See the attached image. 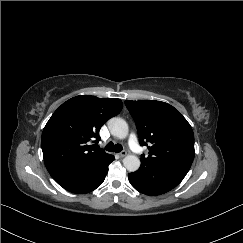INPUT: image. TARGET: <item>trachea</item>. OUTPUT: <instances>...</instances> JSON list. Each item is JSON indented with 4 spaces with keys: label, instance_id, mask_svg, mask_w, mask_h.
<instances>
[{
    "label": "trachea",
    "instance_id": "trachea-1",
    "mask_svg": "<svg viewBox=\"0 0 243 243\" xmlns=\"http://www.w3.org/2000/svg\"><path fill=\"white\" fill-rule=\"evenodd\" d=\"M105 149L107 150V151H110V152H116V153H118V152H120L122 149H123V147H122V145L121 144H115L114 145V143L113 142H109L106 146H105Z\"/></svg>",
    "mask_w": 243,
    "mask_h": 243
}]
</instances>
